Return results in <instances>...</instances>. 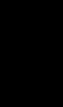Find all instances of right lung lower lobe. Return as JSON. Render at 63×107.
<instances>
[{"label": "right lung lower lobe", "instance_id": "98d812e1", "mask_svg": "<svg viewBox=\"0 0 63 107\" xmlns=\"http://www.w3.org/2000/svg\"><path fill=\"white\" fill-rule=\"evenodd\" d=\"M20 41L12 31H7L0 37V75L13 68L18 56Z\"/></svg>", "mask_w": 63, "mask_h": 107}]
</instances>
